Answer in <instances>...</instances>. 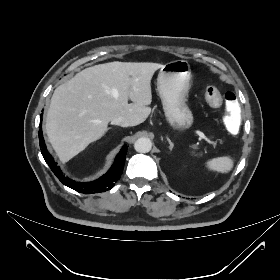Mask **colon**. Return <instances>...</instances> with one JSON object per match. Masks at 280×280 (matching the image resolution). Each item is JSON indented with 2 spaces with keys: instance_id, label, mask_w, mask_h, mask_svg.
Instances as JSON below:
<instances>
[{
  "instance_id": "obj_1",
  "label": "colon",
  "mask_w": 280,
  "mask_h": 280,
  "mask_svg": "<svg viewBox=\"0 0 280 280\" xmlns=\"http://www.w3.org/2000/svg\"><path fill=\"white\" fill-rule=\"evenodd\" d=\"M205 98L208 104L212 107H218L223 101L225 102L228 112L225 116V122L228 131L232 135L239 134L241 131L240 119L243 115V110L241 106L237 104L235 93L227 91L221 95L215 86L209 85L205 89Z\"/></svg>"
}]
</instances>
